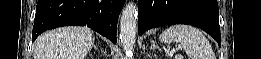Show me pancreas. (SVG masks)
Masks as SVG:
<instances>
[{
	"label": "pancreas",
	"mask_w": 261,
	"mask_h": 59,
	"mask_svg": "<svg viewBox=\"0 0 261 59\" xmlns=\"http://www.w3.org/2000/svg\"><path fill=\"white\" fill-rule=\"evenodd\" d=\"M180 58H181V57H179V56H176V57H175V59H180Z\"/></svg>",
	"instance_id": "obj_1"
}]
</instances>
